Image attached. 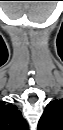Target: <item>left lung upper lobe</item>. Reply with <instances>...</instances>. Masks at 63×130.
Listing matches in <instances>:
<instances>
[{"label": "left lung upper lobe", "instance_id": "left-lung-upper-lobe-1", "mask_svg": "<svg viewBox=\"0 0 63 130\" xmlns=\"http://www.w3.org/2000/svg\"><path fill=\"white\" fill-rule=\"evenodd\" d=\"M38 130H63V100H54L46 106Z\"/></svg>", "mask_w": 63, "mask_h": 130}]
</instances>
